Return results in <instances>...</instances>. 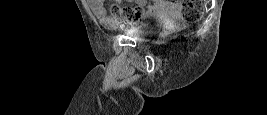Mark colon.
Listing matches in <instances>:
<instances>
[{
    "instance_id": "colon-1",
    "label": "colon",
    "mask_w": 267,
    "mask_h": 115,
    "mask_svg": "<svg viewBox=\"0 0 267 115\" xmlns=\"http://www.w3.org/2000/svg\"><path fill=\"white\" fill-rule=\"evenodd\" d=\"M172 2L182 7V17L188 23L198 21L203 14V4L200 0H173ZM110 11L120 24L135 21L143 14V9L139 5L121 6L116 2L111 5Z\"/></svg>"
}]
</instances>
